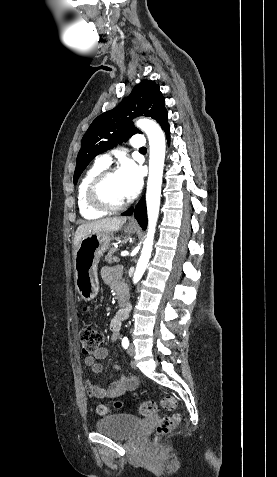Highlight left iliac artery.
<instances>
[{"label": "left iliac artery", "instance_id": "left-iliac-artery-1", "mask_svg": "<svg viewBox=\"0 0 277 477\" xmlns=\"http://www.w3.org/2000/svg\"><path fill=\"white\" fill-rule=\"evenodd\" d=\"M122 346H123V348H125V349L128 348V346H129V340H128L127 337H124V338L122 339Z\"/></svg>", "mask_w": 277, "mask_h": 477}]
</instances>
